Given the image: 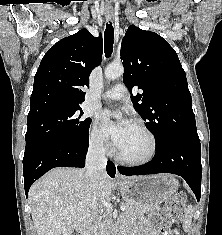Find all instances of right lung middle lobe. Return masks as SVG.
<instances>
[{
	"label": "right lung middle lobe",
	"mask_w": 222,
	"mask_h": 235,
	"mask_svg": "<svg viewBox=\"0 0 222 235\" xmlns=\"http://www.w3.org/2000/svg\"><path fill=\"white\" fill-rule=\"evenodd\" d=\"M82 115L80 105H65L28 116L25 153L50 143H88L91 119Z\"/></svg>",
	"instance_id": "dd1d6c3e"
}]
</instances>
